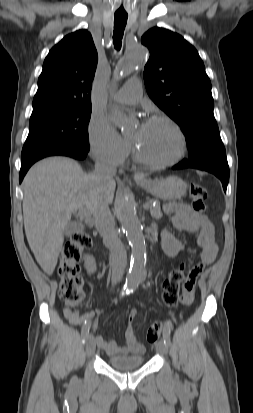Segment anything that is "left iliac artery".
<instances>
[{"label":"left iliac artery","mask_w":253,"mask_h":413,"mask_svg":"<svg viewBox=\"0 0 253 413\" xmlns=\"http://www.w3.org/2000/svg\"><path fill=\"white\" fill-rule=\"evenodd\" d=\"M163 340L167 346L170 345V327L168 324L166 325L165 330L163 332Z\"/></svg>","instance_id":"1"}]
</instances>
